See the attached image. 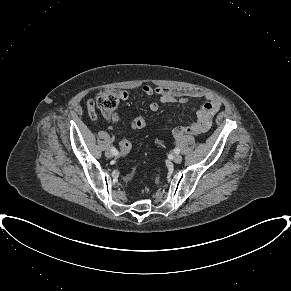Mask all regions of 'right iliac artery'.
<instances>
[{"mask_svg":"<svg viewBox=\"0 0 291 291\" xmlns=\"http://www.w3.org/2000/svg\"><path fill=\"white\" fill-rule=\"evenodd\" d=\"M111 151L113 152L114 155H118V151L115 147H111Z\"/></svg>","mask_w":291,"mask_h":291,"instance_id":"obj_1","label":"right iliac artery"}]
</instances>
